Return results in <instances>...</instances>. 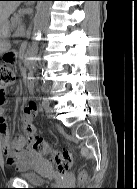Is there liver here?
Listing matches in <instances>:
<instances>
[{"mask_svg":"<svg viewBox=\"0 0 137 189\" xmlns=\"http://www.w3.org/2000/svg\"><path fill=\"white\" fill-rule=\"evenodd\" d=\"M20 5V1H0V28L7 22L9 16Z\"/></svg>","mask_w":137,"mask_h":189,"instance_id":"liver-1","label":"liver"}]
</instances>
